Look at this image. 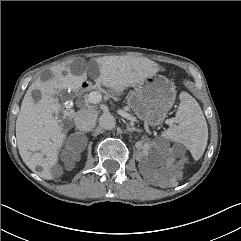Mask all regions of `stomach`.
<instances>
[{
    "mask_svg": "<svg viewBox=\"0 0 241 241\" xmlns=\"http://www.w3.org/2000/svg\"><path fill=\"white\" fill-rule=\"evenodd\" d=\"M175 98L174 84L165 76L152 75L134 85L127 104L145 125L156 127L167 117Z\"/></svg>",
    "mask_w": 241,
    "mask_h": 241,
    "instance_id": "1",
    "label": "stomach"
}]
</instances>
